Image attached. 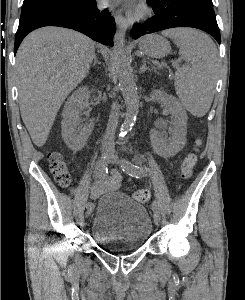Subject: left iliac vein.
I'll use <instances>...</instances> for the list:
<instances>
[{"label":"left iliac vein","mask_w":245,"mask_h":300,"mask_svg":"<svg viewBox=\"0 0 245 300\" xmlns=\"http://www.w3.org/2000/svg\"><path fill=\"white\" fill-rule=\"evenodd\" d=\"M108 161L112 164L120 163L119 159L114 154H110ZM154 222L157 226L161 224V216L158 213L154 214Z\"/></svg>","instance_id":"obj_1"}]
</instances>
